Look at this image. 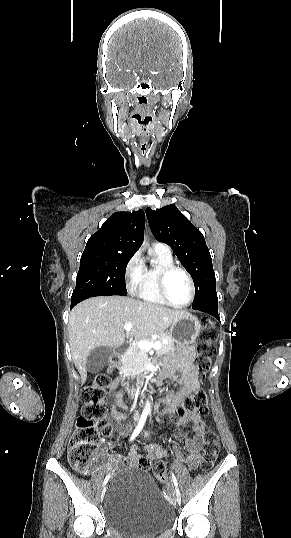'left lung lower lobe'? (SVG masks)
I'll list each match as a JSON object with an SVG mask.
<instances>
[{"label": "left lung lower lobe", "instance_id": "left-lung-lower-lobe-1", "mask_svg": "<svg viewBox=\"0 0 291 538\" xmlns=\"http://www.w3.org/2000/svg\"><path fill=\"white\" fill-rule=\"evenodd\" d=\"M217 306H218V299H213V300L207 301L204 304L192 305V308L195 309V310H199V311H203V312H206L208 314H211V315H213L214 317H216L219 320L220 318H219V315H218Z\"/></svg>", "mask_w": 291, "mask_h": 538}]
</instances>
